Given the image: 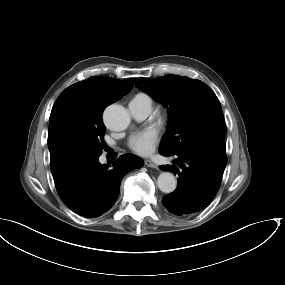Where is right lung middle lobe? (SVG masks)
Wrapping results in <instances>:
<instances>
[{"mask_svg": "<svg viewBox=\"0 0 285 285\" xmlns=\"http://www.w3.org/2000/svg\"><path fill=\"white\" fill-rule=\"evenodd\" d=\"M109 104L79 92L64 90L50 115L48 147L51 171L99 157L104 142L102 113Z\"/></svg>", "mask_w": 285, "mask_h": 285, "instance_id": "1", "label": "right lung middle lobe"}]
</instances>
